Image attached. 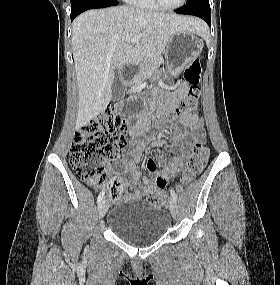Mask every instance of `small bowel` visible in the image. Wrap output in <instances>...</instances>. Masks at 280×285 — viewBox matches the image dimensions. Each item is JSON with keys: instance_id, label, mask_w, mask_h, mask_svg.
I'll return each instance as SVG.
<instances>
[{"instance_id": "c3829d8e", "label": "small bowel", "mask_w": 280, "mask_h": 285, "mask_svg": "<svg viewBox=\"0 0 280 285\" xmlns=\"http://www.w3.org/2000/svg\"><path fill=\"white\" fill-rule=\"evenodd\" d=\"M188 90V85L180 83L178 88L170 93L167 98L162 115L166 116L177 110L179 103L185 97ZM136 123L131 127L130 134L134 138H143L149 129V120L143 116L135 118ZM180 122L185 128L183 133H176L174 140L179 144L180 154L174 156L172 162L163 166L158 170V162L155 158L149 157L145 162L146 170L154 175V179L144 177L141 184L139 182V174L136 168V163L140 161L147 145L143 140L139 139L133 143V152L131 157L117 159L113 164L126 175L114 176L113 179L119 183L118 199L131 198L141 199L153 192L161 191L165 188L168 180L180 174L183 170V159L192 144L205 139V132L202 122L197 114H189L182 112L180 114ZM166 144L161 141H154L148 147H161ZM132 188L133 192L129 193L128 189Z\"/></svg>"}]
</instances>
